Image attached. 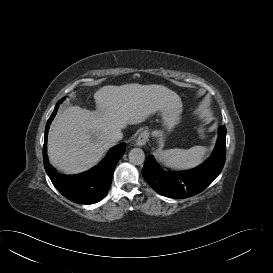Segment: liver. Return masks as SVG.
Returning <instances> with one entry per match:
<instances>
[{
    "instance_id": "6515ba94",
    "label": "liver",
    "mask_w": 273,
    "mask_h": 273,
    "mask_svg": "<svg viewBox=\"0 0 273 273\" xmlns=\"http://www.w3.org/2000/svg\"><path fill=\"white\" fill-rule=\"evenodd\" d=\"M97 109H64L49 132L51 164L67 173L83 171L100 160L112 142L110 132L145 121L162 110L180 111L179 96L162 85H108L95 94Z\"/></svg>"
}]
</instances>
